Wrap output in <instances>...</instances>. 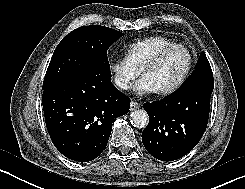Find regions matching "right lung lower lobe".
I'll return each instance as SVG.
<instances>
[{
	"mask_svg": "<svg viewBox=\"0 0 245 189\" xmlns=\"http://www.w3.org/2000/svg\"><path fill=\"white\" fill-rule=\"evenodd\" d=\"M42 99L52 142L77 162L94 160L102 153L115 119L130 107V99L111 83L110 69L103 67L43 90Z\"/></svg>",
	"mask_w": 245,
	"mask_h": 189,
	"instance_id": "98d812e1",
	"label": "right lung lower lobe"
}]
</instances>
